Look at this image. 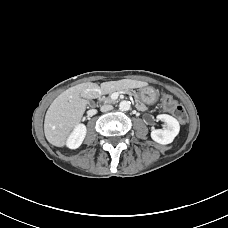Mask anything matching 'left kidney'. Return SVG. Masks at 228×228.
I'll use <instances>...</instances> for the list:
<instances>
[{"instance_id": "obj_1", "label": "left kidney", "mask_w": 228, "mask_h": 228, "mask_svg": "<svg viewBox=\"0 0 228 228\" xmlns=\"http://www.w3.org/2000/svg\"><path fill=\"white\" fill-rule=\"evenodd\" d=\"M157 119L166 123V128L152 130L151 138L162 145L172 143L180 131L179 122L174 117L167 114H160L157 116Z\"/></svg>"}]
</instances>
